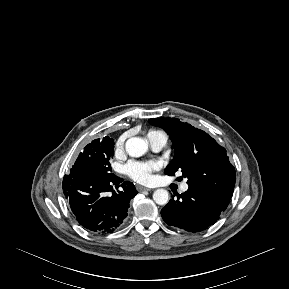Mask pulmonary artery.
I'll return each mask as SVG.
<instances>
[{
	"label": "pulmonary artery",
	"mask_w": 289,
	"mask_h": 289,
	"mask_svg": "<svg viewBox=\"0 0 289 289\" xmlns=\"http://www.w3.org/2000/svg\"><path fill=\"white\" fill-rule=\"evenodd\" d=\"M147 140L152 151L159 152L165 147L167 143V136L164 133L159 132L148 135ZM188 188H189L188 184L183 183L180 187V190L182 192H185L188 190Z\"/></svg>",
	"instance_id": "obj_1"
}]
</instances>
